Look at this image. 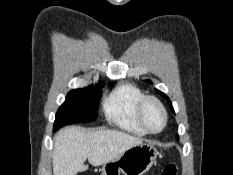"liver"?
I'll list each match as a JSON object with an SVG mask.
<instances>
[{
	"label": "liver",
	"mask_w": 233,
	"mask_h": 175,
	"mask_svg": "<svg viewBox=\"0 0 233 175\" xmlns=\"http://www.w3.org/2000/svg\"><path fill=\"white\" fill-rule=\"evenodd\" d=\"M141 143V138L117 130L66 127L54 137L53 174L76 175L88 169L86 159L92 166H100Z\"/></svg>",
	"instance_id": "obj_1"
}]
</instances>
